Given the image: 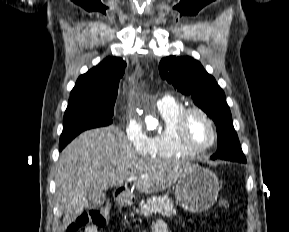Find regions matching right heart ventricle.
Masks as SVG:
<instances>
[{
  "label": "right heart ventricle",
  "instance_id": "1",
  "mask_svg": "<svg viewBox=\"0 0 289 232\" xmlns=\"http://www.w3.org/2000/svg\"><path fill=\"white\" fill-rule=\"evenodd\" d=\"M185 107L178 101L171 99L167 103L157 106L159 115L164 121V128L150 137V154L160 158H178L192 156L195 153L184 148L175 134V123L178 115Z\"/></svg>",
  "mask_w": 289,
  "mask_h": 232
}]
</instances>
